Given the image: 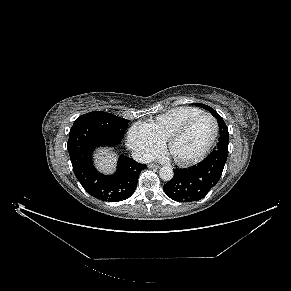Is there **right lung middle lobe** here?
<instances>
[{"label": "right lung middle lobe", "mask_w": 291, "mask_h": 291, "mask_svg": "<svg viewBox=\"0 0 291 291\" xmlns=\"http://www.w3.org/2000/svg\"><path fill=\"white\" fill-rule=\"evenodd\" d=\"M85 125L96 127L100 131L111 135L118 140H122L123 134L128 125V120L111 113L94 111L77 118L72 128Z\"/></svg>", "instance_id": "right-lung-middle-lobe-1"}]
</instances>
